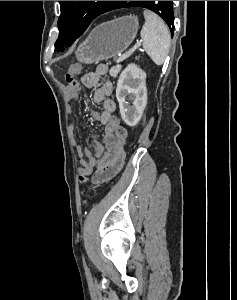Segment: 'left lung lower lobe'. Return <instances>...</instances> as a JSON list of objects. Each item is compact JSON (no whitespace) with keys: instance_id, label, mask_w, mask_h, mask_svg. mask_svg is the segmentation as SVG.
I'll list each match as a JSON object with an SVG mask.
<instances>
[{"instance_id":"0a47b994","label":"left lung lower lobe","mask_w":237,"mask_h":300,"mask_svg":"<svg viewBox=\"0 0 237 300\" xmlns=\"http://www.w3.org/2000/svg\"><path fill=\"white\" fill-rule=\"evenodd\" d=\"M121 2L122 1H111V3L107 6V8L105 9V13L111 10H115V9H119L121 8ZM167 1H160V6L161 8L164 7V5H166ZM172 33L174 32L171 31Z\"/></svg>"}]
</instances>
